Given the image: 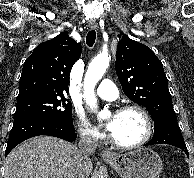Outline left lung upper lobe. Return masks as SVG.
<instances>
[{
	"label": "left lung upper lobe",
	"mask_w": 194,
	"mask_h": 178,
	"mask_svg": "<svg viewBox=\"0 0 194 178\" xmlns=\"http://www.w3.org/2000/svg\"><path fill=\"white\" fill-rule=\"evenodd\" d=\"M115 67L124 93L144 106L153 120L175 115L163 64L149 47L124 35L117 46Z\"/></svg>",
	"instance_id": "1"
}]
</instances>
